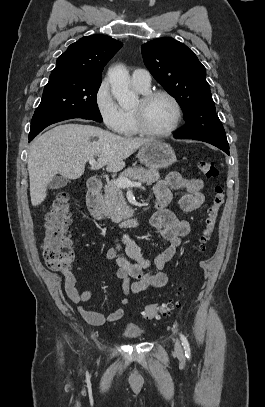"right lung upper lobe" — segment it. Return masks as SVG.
<instances>
[{"instance_id":"cb5924a9","label":"right lung upper lobe","mask_w":265,"mask_h":407,"mask_svg":"<svg viewBox=\"0 0 265 407\" xmlns=\"http://www.w3.org/2000/svg\"><path fill=\"white\" fill-rule=\"evenodd\" d=\"M122 47V43L106 35H91L79 39L57 59L51 76L66 74L79 78L101 80L107 62Z\"/></svg>"}]
</instances>
